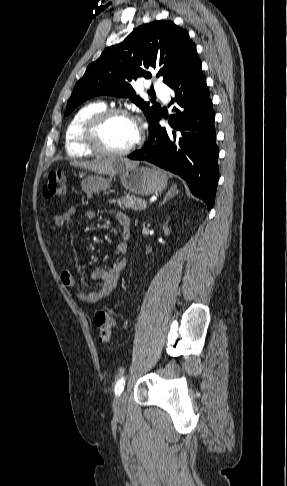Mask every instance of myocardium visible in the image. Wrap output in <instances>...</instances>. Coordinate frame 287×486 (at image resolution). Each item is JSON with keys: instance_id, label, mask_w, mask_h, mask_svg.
<instances>
[{"instance_id": "1", "label": "myocardium", "mask_w": 287, "mask_h": 486, "mask_svg": "<svg viewBox=\"0 0 287 486\" xmlns=\"http://www.w3.org/2000/svg\"><path fill=\"white\" fill-rule=\"evenodd\" d=\"M121 116L132 121L137 130L135 140L127 147L121 150H109L105 148L100 140L99 133L104 124L113 117ZM142 139L141 129L138 126L135 118L125 109L119 107L105 108L91 117H89L83 125L82 142L93 153L104 157H121L128 155L137 148Z\"/></svg>"}]
</instances>
